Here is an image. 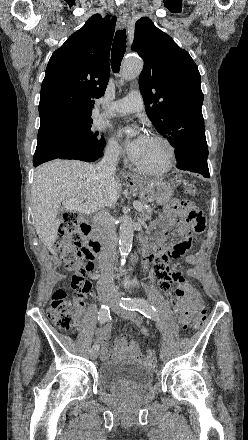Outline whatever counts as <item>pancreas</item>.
Wrapping results in <instances>:
<instances>
[{
	"mask_svg": "<svg viewBox=\"0 0 248 440\" xmlns=\"http://www.w3.org/2000/svg\"><path fill=\"white\" fill-rule=\"evenodd\" d=\"M144 207V206H143ZM139 216L144 220H150L152 217V209L144 207L142 211H139Z\"/></svg>",
	"mask_w": 248,
	"mask_h": 440,
	"instance_id": "pancreas-1",
	"label": "pancreas"
}]
</instances>
